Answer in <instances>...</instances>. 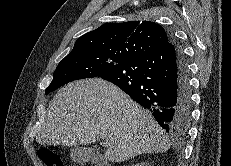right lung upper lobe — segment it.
<instances>
[{
  "label": "right lung upper lobe",
  "instance_id": "cb5924a9",
  "mask_svg": "<svg viewBox=\"0 0 231 166\" xmlns=\"http://www.w3.org/2000/svg\"><path fill=\"white\" fill-rule=\"evenodd\" d=\"M170 40L164 28L154 22L105 23L81 36L71 52L90 49L128 61L156 52Z\"/></svg>",
  "mask_w": 231,
  "mask_h": 166
}]
</instances>
